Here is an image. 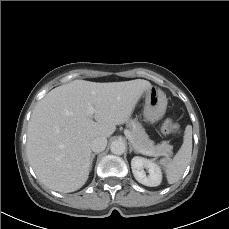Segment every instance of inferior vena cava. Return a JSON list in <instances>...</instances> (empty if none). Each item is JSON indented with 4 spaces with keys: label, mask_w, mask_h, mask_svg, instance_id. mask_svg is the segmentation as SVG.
Returning a JSON list of instances; mask_svg holds the SVG:
<instances>
[{
    "label": "inferior vena cava",
    "mask_w": 229,
    "mask_h": 229,
    "mask_svg": "<svg viewBox=\"0 0 229 229\" xmlns=\"http://www.w3.org/2000/svg\"><path fill=\"white\" fill-rule=\"evenodd\" d=\"M107 146V139L105 137H96L92 140L90 147L95 153L102 152Z\"/></svg>",
    "instance_id": "1"
}]
</instances>
